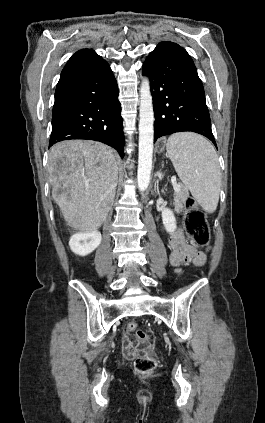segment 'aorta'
I'll list each match as a JSON object with an SVG mask.
<instances>
[{"label": "aorta", "instance_id": "aorta-1", "mask_svg": "<svg viewBox=\"0 0 265 423\" xmlns=\"http://www.w3.org/2000/svg\"><path fill=\"white\" fill-rule=\"evenodd\" d=\"M139 156L137 183L138 189L144 192L150 183L154 140V111L148 77H143L140 87L139 108Z\"/></svg>", "mask_w": 265, "mask_h": 423}]
</instances>
